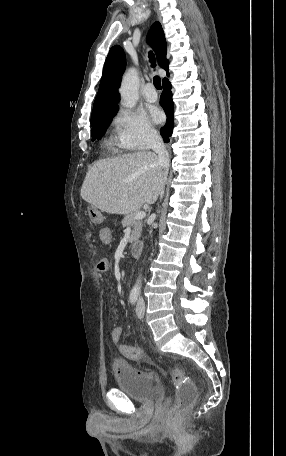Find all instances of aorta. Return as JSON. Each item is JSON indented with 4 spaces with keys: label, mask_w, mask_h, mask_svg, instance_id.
I'll return each mask as SVG.
<instances>
[{
    "label": "aorta",
    "mask_w": 286,
    "mask_h": 456,
    "mask_svg": "<svg viewBox=\"0 0 286 456\" xmlns=\"http://www.w3.org/2000/svg\"><path fill=\"white\" fill-rule=\"evenodd\" d=\"M138 86L139 78L135 69H129L123 76L119 93L121 96V103L127 108H133L138 100ZM135 289L140 288V280H137L134 285Z\"/></svg>",
    "instance_id": "aorta-1"
}]
</instances>
